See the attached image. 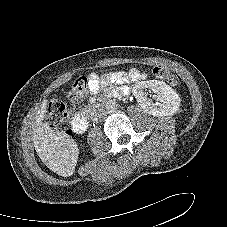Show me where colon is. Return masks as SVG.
<instances>
[{
  "label": "colon",
  "mask_w": 227,
  "mask_h": 227,
  "mask_svg": "<svg viewBox=\"0 0 227 227\" xmlns=\"http://www.w3.org/2000/svg\"><path fill=\"white\" fill-rule=\"evenodd\" d=\"M152 74L156 78L168 82L173 87L179 84L178 78L163 66L153 67ZM89 91L90 77L81 76L73 82L68 95L71 101H79L86 97ZM45 118L47 123L55 130L62 133L68 132V113L66 106L61 101L50 102L46 109Z\"/></svg>",
  "instance_id": "5ec220e1"
}]
</instances>
